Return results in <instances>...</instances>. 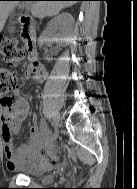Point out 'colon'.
Masks as SVG:
<instances>
[{"instance_id": "obj_1", "label": "colon", "mask_w": 137, "mask_h": 189, "mask_svg": "<svg viewBox=\"0 0 137 189\" xmlns=\"http://www.w3.org/2000/svg\"><path fill=\"white\" fill-rule=\"evenodd\" d=\"M0 55L10 67H25L26 53L15 39L0 36ZM18 86V78L14 72L6 68H0V102L11 104L10 93ZM48 158L50 163L57 164V158L54 152L50 153Z\"/></svg>"}]
</instances>
